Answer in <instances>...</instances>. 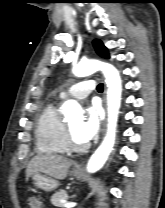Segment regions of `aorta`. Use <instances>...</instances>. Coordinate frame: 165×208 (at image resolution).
Here are the masks:
<instances>
[{"instance_id": "1", "label": "aorta", "mask_w": 165, "mask_h": 208, "mask_svg": "<svg viewBox=\"0 0 165 208\" xmlns=\"http://www.w3.org/2000/svg\"><path fill=\"white\" fill-rule=\"evenodd\" d=\"M102 71L107 83V105H108V125L107 133L103 142L93 153L87 163V171L95 173L102 168L108 159L115 143L116 125L121 104L122 84L117 69L105 62L98 60H85L74 65L73 73L77 77H85L96 71ZM62 111L66 118L73 116L81 117L83 110L75 100H68L62 105Z\"/></svg>"}]
</instances>
